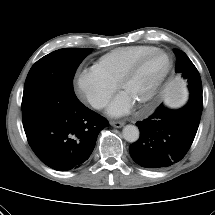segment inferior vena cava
<instances>
[{
    "mask_svg": "<svg viewBox=\"0 0 215 215\" xmlns=\"http://www.w3.org/2000/svg\"><path fill=\"white\" fill-rule=\"evenodd\" d=\"M106 104H107L106 102H101V103L99 104V106H100V107H104Z\"/></svg>",
    "mask_w": 215,
    "mask_h": 215,
    "instance_id": "inferior-vena-cava-1",
    "label": "inferior vena cava"
}]
</instances>
